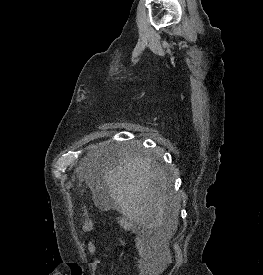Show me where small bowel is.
<instances>
[{"label":"small bowel","instance_id":"c3829d8e","mask_svg":"<svg viewBox=\"0 0 263 275\" xmlns=\"http://www.w3.org/2000/svg\"><path fill=\"white\" fill-rule=\"evenodd\" d=\"M94 228V222L88 221L82 227V232L87 233L92 231ZM135 245L137 249V275H153V267L149 262V249L144 244L143 240L139 237H135ZM88 251L95 255L96 246L93 241L88 243ZM100 263L98 258H95L93 262L90 263L91 269H96L97 265Z\"/></svg>","mask_w":263,"mask_h":275}]
</instances>
